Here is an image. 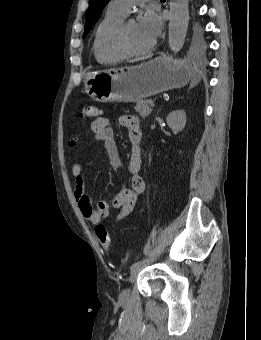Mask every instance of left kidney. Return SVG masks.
<instances>
[{
  "label": "left kidney",
  "mask_w": 261,
  "mask_h": 340,
  "mask_svg": "<svg viewBox=\"0 0 261 340\" xmlns=\"http://www.w3.org/2000/svg\"><path fill=\"white\" fill-rule=\"evenodd\" d=\"M167 124L174 134L182 131L186 125V113L184 110H175L168 114Z\"/></svg>",
  "instance_id": "5707ae66"
}]
</instances>
